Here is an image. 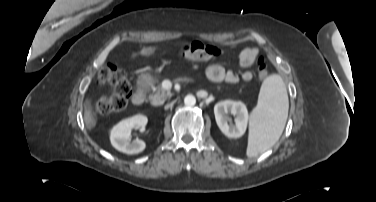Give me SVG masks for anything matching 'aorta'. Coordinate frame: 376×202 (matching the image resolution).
<instances>
[{"label": "aorta", "instance_id": "1", "mask_svg": "<svg viewBox=\"0 0 376 202\" xmlns=\"http://www.w3.org/2000/svg\"><path fill=\"white\" fill-rule=\"evenodd\" d=\"M184 104L186 106L192 107L196 104V98L193 95H187L184 98Z\"/></svg>", "mask_w": 376, "mask_h": 202}]
</instances>
